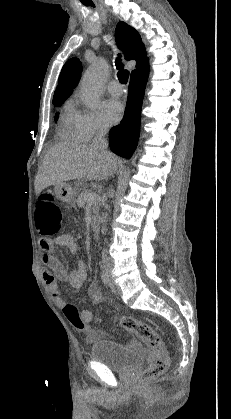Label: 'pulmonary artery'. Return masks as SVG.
I'll use <instances>...</instances> for the list:
<instances>
[{
  "mask_svg": "<svg viewBox=\"0 0 231 419\" xmlns=\"http://www.w3.org/2000/svg\"><path fill=\"white\" fill-rule=\"evenodd\" d=\"M107 90L112 96L115 97H118L123 93V89L117 81H111L107 86Z\"/></svg>",
  "mask_w": 231,
  "mask_h": 419,
  "instance_id": "1",
  "label": "pulmonary artery"
}]
</instances>
